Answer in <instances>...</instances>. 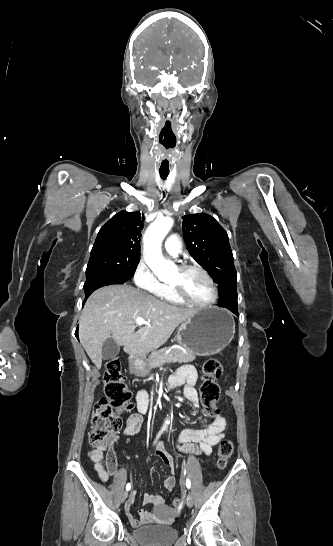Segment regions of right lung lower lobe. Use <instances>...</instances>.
Returning a JSON list of instances; mask_svg holds the SVG:
<instances>
[{"label": "right lung lower lobe", "mask_w": 333, "mask_h": 546, "mask_svg": "<svg viewBox=\"0 0 333 546\" xmlns=\"http://www.w3.org/2000/svg\"><path fill=\"white\" fill-rule=\"evenodd\" d=\"M128 279H124L115 275L106 273H91L86 276V282L84 284L85 301L96 289L112 284H123ZM84 301V303H85Z\"/></svg>", "instance_id": "right-lung-lower-lobe-1"}]
</instances>
